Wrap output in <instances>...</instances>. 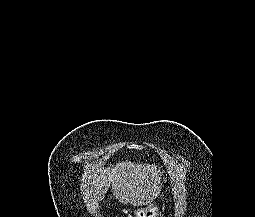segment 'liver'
<instances>
[{"instance_id":"6515ba94","label":"liver","mask_w":255,"mask_h":217,"mask_svg":"<svg viewBox=\"0 0 255 217\" xmlns=\"http://www.w3.org/2000/svg\"><path fill=\"white\" fill-rule=\"evenodd\" d=\"M160 170L150 164L118 162L113 168L90 170L82 185L83 198L101 201L111 187L116 199L133 206L150 205L159 195Z\"/></svg>"}]
</instances>
